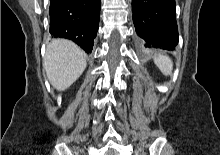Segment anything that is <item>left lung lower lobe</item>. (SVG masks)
<instances>
[{
  "instance_id": "0a47b994",
  "label": "left lung lower lobe",
  "mask_w": 220,
  "mask_h": 155,
  "mask_svg": "<svg viewBox=\"0 0 220 155\" xmlns=\"http://www.w3.org/2000/svg\"><path fill=\"white\" fill-rule=\"evenodd\" d=\"M133 12L141 46L175 49L178 44L175 0H133Z\"/></svg>"
}]
</instances>
